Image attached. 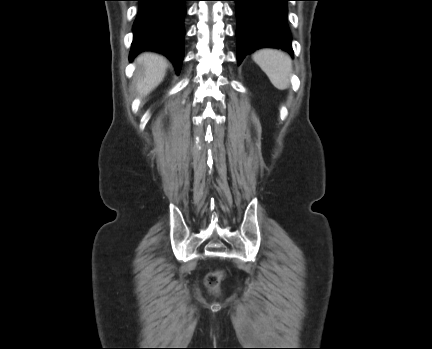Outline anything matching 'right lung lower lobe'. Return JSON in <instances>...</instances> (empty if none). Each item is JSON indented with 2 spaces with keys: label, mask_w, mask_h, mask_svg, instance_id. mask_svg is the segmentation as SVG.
<instances>
[{
  "label": "right lung lower lobe",
  "mask_w": 432,
  "mask_h": 349,
  "mask_svg": "<svg viewBox=\"0 0 432 349\" xmlns=\"http://www.w3.org/2000/svg\"><path fill=\"white\" fill-rule=\"evenodd\" d=\"M137 1L140 4L133 27L130 60L141 51H156L167 56L179 73L183 60L187 0Z\"/></svg>",
  "instance_id": "right-lung-lower-lobe-1"
}]
</instances>
